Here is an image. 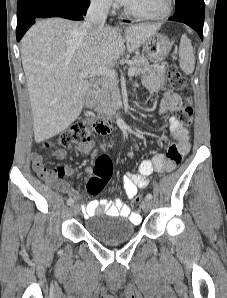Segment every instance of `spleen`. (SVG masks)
<instances>
[{"label":"spleen","instance_id":"obj_1","mask_svg":"<svg viewBox=\"0 0 227 298\" xmlns=\"http://www.w3.org/2000/svg\"><path fill=\"white\" fill-rule=\"evenodd\" d=\"M179 66L185 74H192L195 68V55L191 41L182 35L179 46Z\"/></svg>","mask_w":227,"mask_h":298}]
</instances>
